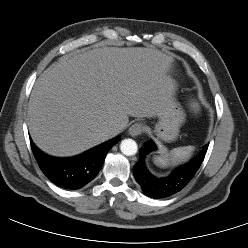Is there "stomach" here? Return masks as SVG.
<instances>
[{"label": "stomach", "mask_w": 248, "mask_h": 248, "mask_svg": "<svg viewBox=\"0 0 248 248\" xmlns=\"http://www.w3.org/2000/svg\"><path fill=\"white\" fill-rule=\"evenodd\" d=\"M185 117L183 108L176 101L173 94L171 104L158 116L159 121L154 128L156 136L165 142L176 140L179 135V128L185 121Z\"/></svg>", "instance_id": "obj_1"}]
</instances>
